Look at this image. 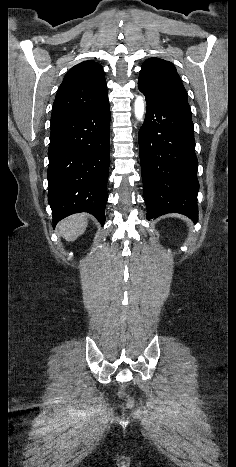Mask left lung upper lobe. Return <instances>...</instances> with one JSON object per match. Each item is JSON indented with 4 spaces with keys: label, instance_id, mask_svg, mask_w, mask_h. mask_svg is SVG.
<instances>
[{
    "label": "left lung upper lobe",
    "instance_id": "5c2ea615",
    "mask_svg": "<svg viewBox=\"0 0 236 467\" xmlns=\"http://www.w3.org/2000/svg\"><path fill=\"white\" fill-rule=\"evenodd\" d=\"M138 88L149 100L188 104L187 91L175 66L164 59L152 57L143 63Z\"/></svg>",
    "mask_w": 236,
    "mask_h": 467
}]
</instances>
